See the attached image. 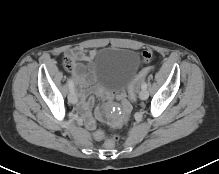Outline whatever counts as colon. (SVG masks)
I'll use <instances>...</instances> for the list:
<instances>
[{
    "label": "colon",
    "instance_id": "1",
    "mask_svg": "<svg viewBox=\"0 0 219 174\" xmlns=\"http://www.w3.org/2000/svg\"><path fill=\"white\" fill-rule=\"evenodd\" d=\"M65 64L67 66V68L71 69L72 68V62L70 59H66ZM151 72V68L150 67H145L143 69H141L136 76L133 78V80L131 81L129 87H128V97L132 102L136 101V92H137V88L140 84V82L142 81L143 78H145L149 73ZM93 137L96 140H103L105 139V145L107 148H112L115 145V142L119 139L118 135H112L109 137H105V134L103 131L101 130H97L93 133Z\"/></svg>",
    "mask_w": 219,
    "mask_h": 174
}]
</instances>
